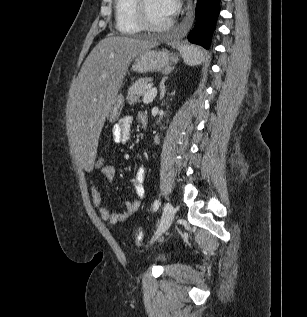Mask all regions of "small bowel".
Masks as SVG:
<instances>
[{
    "mask_svg": "<svg viewBox=\"0 0 307 317\" xmlns=\"http://www.w3.org/2000/svg\"><path fill=\"white\" fill-rule=\"evenodd\" d=\"M144 116L143 113H139L138 118ZM131 122L132 118L130 116L122 117L117 124L114 125L112 129L113 140L118 145H126L131 138ZM101 172L103 176L108 180L112 181L115 178L116 170L111 165H105ZM146 168L139 167L135 173V176L132 180V186L136 198L125 202L124 211L120 213H115L110 211L107 207H105L102 203L101 194L94 182L91 181V194H92V202L95 208L98 209L100 217L107 221L110 224H117L120 222H124L127 220L132 214H134L141 205V199L145 196V188L144 181L146 178Z\"/></svg>",
    "mask_w": 307,
    "mask_h": 317,
    "instance_id": "1",
    "label": "small bowel"
}]
</instances>
